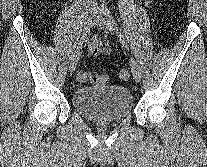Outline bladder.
Masks as SVG:
<instances>
[{"instance_id": "1", "label": "bladder", "mask_w": 207, "mask_h": 167, "mask_svg": "<svg viewBox=\"0 0 207 167\" xmlns=\"http://www.w3.org/2000/svg\"><path fill=\"white\" fill-rule=\"evenodd\" d=\"M72 103L77 112L90 120L113 122L131 112L133 96L121 85L85 86L75 90Z\"/></svg>"}]
</instances>
